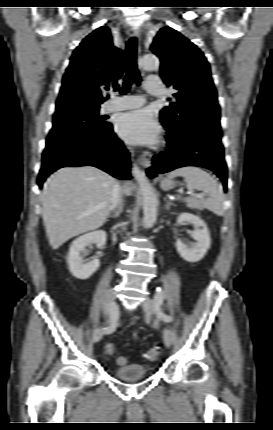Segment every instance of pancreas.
Listing matches in <instances>:
<instances>
[{"mask_svg": "<svg viewBox=\"0 0 273 430\" xmlns=\"http://www.w3.org/2000/svg\"><path fill=\"white\" fill-rule=\"evenodd\" d=\"M200 202H201V200L196 201V204H194V206H192V208H197L198 210H202L201 207L199 206Z\"/></svg>", "mask_w": 273, "mask_h": 430, "instance_id": "cf45deb5", "label": "pancreas"}]
</instances>
